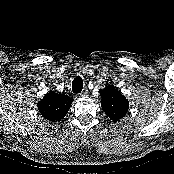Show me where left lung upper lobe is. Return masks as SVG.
<instances>
[{
  "label": "left lung upper lobe",
  "instance_id": "left-lung-upper-lobe-1",
  "mask_svg": "<svg viewBox=\"0 0 174 174\" xmlns=\"http://www.w3.org/2000/svg\"><path fill=\"white\" fill-rule=\"evenodd\" d=\"M101 107L109 118L117 122L123 118L129 109V101L112 85L100 90Z\"/></svg>",
  "mask_w": 174,
  "mask_h": 174
}]
</instances>
